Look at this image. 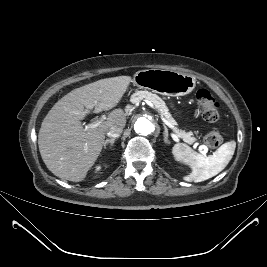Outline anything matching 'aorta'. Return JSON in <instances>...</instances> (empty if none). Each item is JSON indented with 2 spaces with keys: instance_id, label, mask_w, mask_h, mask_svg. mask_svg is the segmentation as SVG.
<instances>
[{
  "instance_id": "1",
  "label": "aorta",
  "mask_w": 267,
  "mask_h": 267,
  "mask_svg": "<svg viewBox=\"0 0 267 267\" xmlns=\"http://www.w3.org/2000/svg\"><path fill=\"white\" fill-rule=\"evenodd\" d=\"M134 129L141 135H149L154 131V124L147 117H139L134 124Z\"/></svg>"
}]
</instances>
